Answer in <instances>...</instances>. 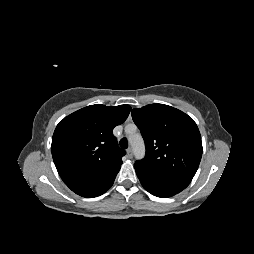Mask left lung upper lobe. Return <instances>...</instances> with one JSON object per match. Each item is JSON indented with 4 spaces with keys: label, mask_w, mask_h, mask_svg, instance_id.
<instances>
[{
    "label": "left lung upper lobe",
    "mask_w": 254,
    "mask_h": 254,
    "mask_svg": "<svg viewBox=\"0 0 254 254\" xmlns=\"http://www.w3.org/2000/svg\"><path fill=\"white\" fill-rule=\"evenodd\" d=\"M131 114L146 146L144 159L135 163L156 174L191 181L203 150L194 120L164 104L135 108Z\"/></svg>",
    "instance_id": "left-lung-upper-lobe-1"
}]
</instances>
